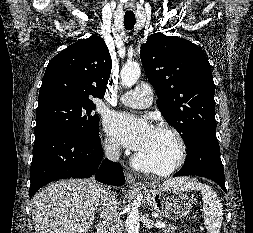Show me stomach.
Wrapping results in <instances>:
<instances>
[{
  "mask_svg": "<svg viewBox=\"0 0 253 233\" xmlns=\"http://www.w3.org/2000/svg\"><path fill=\"white\" fill-rule=\"evenodd\" d=\"M144 194L156 212L171 220L183 218L191 209L192 200L183 191L165 184H147Z\"/></svg>",
  "mask_w": 253,
  "mask_h": 233,
  "instance_id": "0dacf381",
  "label": "stomach"
}]
</instances>
